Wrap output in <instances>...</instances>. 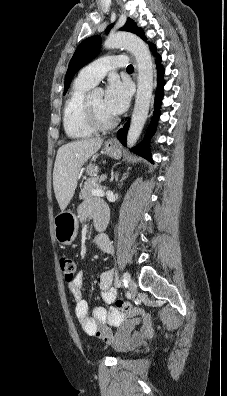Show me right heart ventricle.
<instances>
[{"mask_svg":"<svg viewBox=\"0 0 227 396\" xmlns=\"http://www.w3.org/2000/svg\"><path fill=\"white\" fill-rule=\"evenodd\" d=\"M92 85L77 78L68 94L63 108V126L68 137L72 139L86 138L95 133L85 116L84 102L86 93Z\"/></svg>","mask_w":227,"mask_h":396,"instance_id":"e07e8e85","label":"right heart ventricle"}]
</instances>
